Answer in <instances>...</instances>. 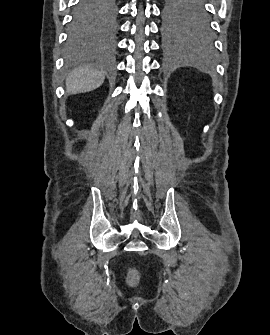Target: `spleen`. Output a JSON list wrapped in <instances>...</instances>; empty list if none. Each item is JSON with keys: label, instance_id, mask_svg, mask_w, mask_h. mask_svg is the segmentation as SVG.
<instances>
[{"label": "spleen", "instance_id": "spleen-1", "mask_svg": "<svg viewBox=\"0 0 270 335\" xmlns=\"http://www.w3.org/2000/svg\"><path fill=\"white\" fill-rule=\"evenodd\" d=\"M182 52H183L182 60H184V62H198V60H200L196 52V48H192V46H183Z\"/></svg>", "mask_w": 270, "mask_h": 335}]
</instances>
